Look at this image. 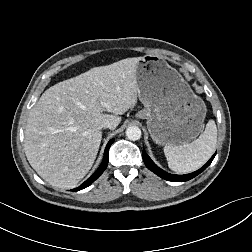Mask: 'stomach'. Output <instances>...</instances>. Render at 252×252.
Here are the masks:
<instances>
[{
    "instance_id": "obj_1",
    "label": "stomach",
    "mask_w": 252,
    "mask_h": 252,
    "mask_svg": "<svg viewBox=\"0 0 252 252\" xmlns=\"http://www.w3.org/2000/svg\"><path fill=\"white\" fill-rule=\"evenodd\" d=\"M138 97L144 108L136 114L158 145L180 146L201 133L204 101L196 96L176 69L156 55L140 58L136 67Z\"/></svg>"
}]
</instances>
